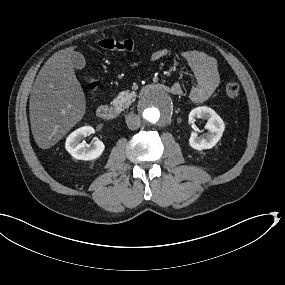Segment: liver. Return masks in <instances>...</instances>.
<instances>
[{
    "instance_id": "6515ba94",
    "label": "liver",
    "mask_w": 285,
    "mask_h": 285,
    "mask_svg": "<svg viewBox=\"0 0 285 285\" xmlns=\"http://www.w3.org/2000/svg\"><path fill=\"white\" fill-rule=\"evenodd\" d=\"M77 46L54 53L38 73L30 96L33 138L43 150L56 145L85 115V92L73 69Z\"/></svg>"
}]
</instances>
